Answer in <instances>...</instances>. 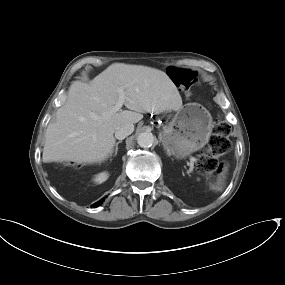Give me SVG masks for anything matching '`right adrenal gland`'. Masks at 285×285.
Instances as JSON below:
<instances>
[{
  "instance_id": "1",
  "label": "right adrenal gland",
  "mask_w": 285,
  "mask_h": 285,
  "mask_svg": "<svg viewBox=\"0 0 285 285\" xmlns=\"http://www.w3.org/2000/svg\"><path fill=\"white\" fill-rule=\"evenodd\" d=\"M120 143H122L121 140L118 141V142H116L115 148H114V151H113V152H114L113 157L117 155V152H118V145H119ZM113 152H112V153H113Z\"/></svg>"
}]
</instances>
